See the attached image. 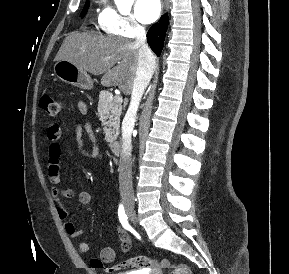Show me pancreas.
<instances>
[{
  "label": "pancreas",
  "mask_w": 289,
  "mask_h": 274,
  "mask_svg": "<svg viewBox=\"0 0 289 274\" xmlns=\"http://www.w3.org/2000/svg\"><path fill=\"white\" fill-rule=\"evenodd\" d=\"M98 112L103 130L105 133V140L108 143H113L119 133L120 116L122 113L121 102L117 101L108 91H101L98 102Z\"/></svg>",
  "instance_id": "cf45deb5"
}]
</instances>
